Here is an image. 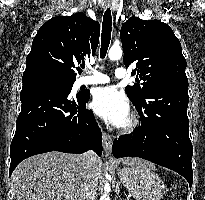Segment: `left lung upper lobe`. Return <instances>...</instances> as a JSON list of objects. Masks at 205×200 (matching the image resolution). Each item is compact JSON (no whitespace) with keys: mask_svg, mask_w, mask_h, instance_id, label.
Returning <instances> with one entry per match:
<instances>
[{"mask_svg":"<svg viewBox=\"0 0 205 200\" xmlns=\"http://www.w3.org/2000/svg\"><path fill=\"white\" fill-rule=\"evenodd\" d=\"M120 38L126 67L136 63L133 75L144 81L125 88L135 106H142L146 96L159 85L188 84L186 60L173 30L159 20L129 18L121 27ZM139 83V79H136Z\"/></svg>","mask_w":205,"mask_h":200,"instance_id":"left-lung-upper-lobe-1","label":"left lung upper lobe"}]
</instances>
